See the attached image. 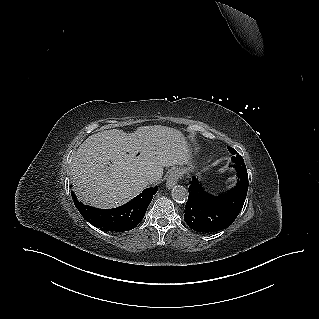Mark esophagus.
I'll return each mask as SVG.
<instances>
[{
  "label": "esophagus",
  "mask_w": 319,
  "mask_h": 319,
  "mask_svg": "<svg viewBox=\"0 0 319 319\" xmlns=\"http://www.w3.org/2000/svg\"><path fill=\"white\" fill-rule=\"evenodd\" d=\"M179 178H180L179 170L171 171L166 180V187L168 189L172 188L178 182Z\"/></svg>",
  "instance_id": "1"
}]
</instances>
